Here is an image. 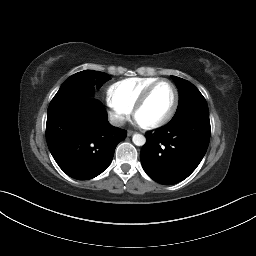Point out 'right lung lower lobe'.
<instances>
[{"instance_id": "right-lung-lower-lobe-1", "label": "right lung lower lobe", "mask_w": 256, "mask_h": 256, "mask_svg": "<svg viewBox=\"0 0 256 256\" xmlns=\"http://www.w3.org/2000/svg\"><path fill=\"white\" fill-rule=\"evenodd\" d=\"M75 99L49 106L46 139L59 167L70 177L88 180L98 176L111 163L117 144L127 132L113 127L100 101Z\"/></svg>"}]
</instances>
